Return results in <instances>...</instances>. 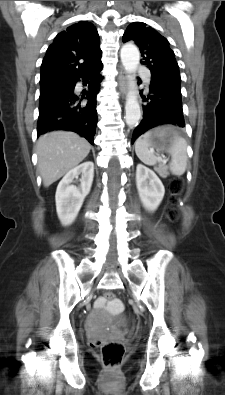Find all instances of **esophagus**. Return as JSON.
Here are the masks:
<instances>
[{
	"label": "esophagus",
	"mask_w": 225,
	"mask_h": 395,
	"mask_svg": "<svg viewBox=\"0 0 225 395\" xmlns=\"http://www.w3.org/2000/svg\"><path fill=\"white\" fill-rule=\"evenodd\" d=\"M118 85L119 90L122 94H126L127 92V80H126V73L123 68L120 69V73L118 76Z\"/></svg>",
	"instance_id": "34e87169"
}]
</instances>
